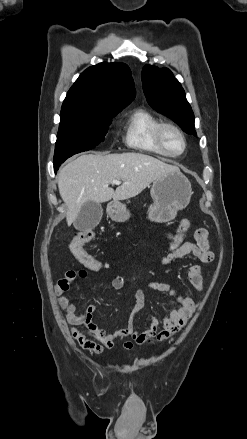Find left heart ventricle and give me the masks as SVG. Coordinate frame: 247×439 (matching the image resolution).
Masks as SVG:
<instances>
[{"instance_id": "b2bd125f", "label": "left heart ventricle", "mask_w": 247, "mask_h": 439, "mask_svg": "<svg viewBox=\"0 0 247 439\" xmlns=\"http://www.w3.org/2000/svg\"><path fill=\"white\" fill-rule=\"evenodd\" d=\"M164 143L167 149L172 153H178L182 150L183 143L180 136L173 130L167 129L164 131Z\"/></svg>"}]
</instances>
